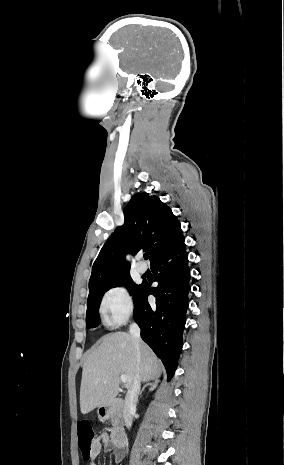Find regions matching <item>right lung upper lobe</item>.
Segmentation results:
<instances>
[{
    "label": "right lung upper lobe",
    "mask_w": 284,
    "mask_h": 465,
    "mask_svg": "<svg viewBox=\"0 0 284 465\" xmlns=\"http://www.w3.org/2000/svg\"><path fill=\"white\" fill-rule=\"evenodd\" d=\"M124 217V225L116 228L93 264L89 294L130 276L127 253L135 255L144 250L150 254L151 264L184 237L179 220L157 196L133 195L124 209Z\"/></svg>",
    "instance_id": "obj_1"
}]
</instances>
